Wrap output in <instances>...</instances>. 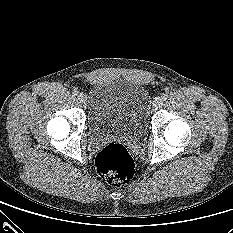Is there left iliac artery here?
Instances as JSON below:
<instances>
[{"instance_id":"1","label":"left iliac artery","mask_w":233,"mask_h":233,"mask_svg":"<svg viewBox=\"0 0 233 233\" xmlns=\"http://www.w3.org/2000/svg\"><path fill=\"white\" fill-rule=\"evenodd\" d=\"M168 97H169V96H168L167 94H163V95H162V99H163L164 101L167 100Z\"/></svg>"}]
</instances>
